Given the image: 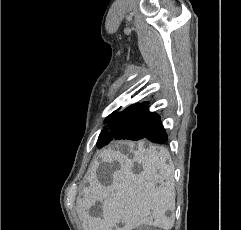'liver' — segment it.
<instances>
[{
	"instance_id": "1",
	"label": "liver",
	"mask_w": 241,
	"mask_h": 230,
	"mask_svg": "<svg viewBox=\"0 0 241 230\" xmlns=\"http://www.w3.org/2000/svg\"><path fill=\"white\" fill-rule=\"evenodd\" d=\"M133 157L129 158L119 150L104 149L98 154L100 162L110 170L112 183L108 186L99 181L96 169L87 178L89 185L77 198L76 206L83 221L84 230H131L141 224L170 230L174 225L175 197L173 166L167 164L170 153L166 148L128 143ZM134 163L142 166L139 174L133 172ZM172 194L168 195V191ZM102 203V216L95 217L90 209ZM171 216H167V212ZM123 223L122 228L117 227Z\"/></svg>"
}]
</instances>
